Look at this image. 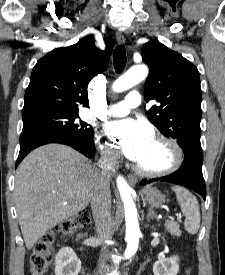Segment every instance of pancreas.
<instances>
[{
  "mask_svg": "<svg viewBox=\"0 0 225 275\" xmlns=\"http://www.w3.org/2000/svg\"><path fill=\"white\" fill-rule=\"evenodd\" d=\"M164 226L171 235L181 236L180 225L177 222L166 221Z\"/></svg>",
  "mask_w": 225,
  "mask_h": 275,
  "instance_id": "1",
  "label": "pancreas"
}]
</instances>
